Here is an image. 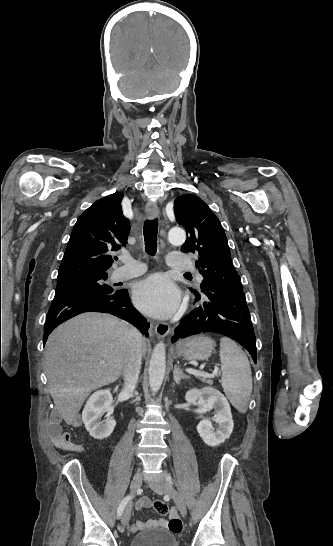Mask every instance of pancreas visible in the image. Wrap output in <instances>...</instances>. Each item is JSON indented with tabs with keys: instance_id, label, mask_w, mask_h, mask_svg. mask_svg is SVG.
Instances as JSON below:
<instances>
[{
	"instance_id": "cf45deb5",
	"label": "pancreas",
	"mask_w": 333,
	"mask_h": 546,
	"mask_svg": "<svg viewBox=\"0 0 333 546\" xmlns=\"http://www.w3.org/2000/svg\"><path fill=\"white\" fill-rule=\"evenodd\" d=\"M199 378L202 382H205V383H208V384H212V380L211 379H208L207 377H197Z\"/></svg>"
}]
</instances>
